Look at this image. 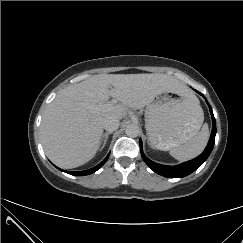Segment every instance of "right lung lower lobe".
<instances>
[{
    "mask_svg": "<svg viewBox=\"0 0 243 243\" xmlns=\"http://www.w3.org/2000/svg\"><path fill=\"white\" fill-rule=\"evenodd\" d=\"M108 157H109V154H108V156L100 164H98L97 166H95V167H93V168H91L89 170H85V171H74V172L65 171V172L68 173V174L74 175V176H84V175H88V174L94 173L101 166L104 165V163L107 161Z\"/></svg>",
    "mask_w": 243,
    "mask_h": 243,
    "instance_id": "obj_1",
    "label": "right lung lower lobe"
}]
</instances>
